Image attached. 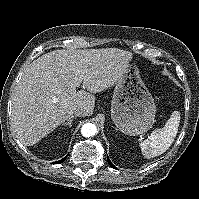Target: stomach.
I'll return each instance as SVG.
<instances>
[{"label": "stomach", "mask_w": 199, "mask_h": 199, "mask_svg": "<svg viewBox=\"0 0 199 199\" xmlns=\"http://www.w3.org/2000/svg\"><path fill=\"white\" fill-rule=\"evenodd\" d=\"M155 113L154 99L141 80L138 67L129 62L114 88L111 103L114 124L127 135H139L152 128Z\"/></svg>", "instance_id": "0dacf381"}]
</instances>
